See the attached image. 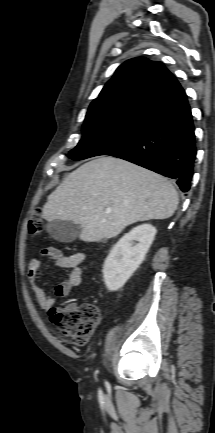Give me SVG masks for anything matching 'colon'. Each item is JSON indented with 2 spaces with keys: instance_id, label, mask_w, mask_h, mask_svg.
<instances>
[{
  "instance_id": "obj_1",
  "label": "colon",
  "mask_w": 215,
  "mask_h": 433,
  "mask_svg": "<svg viewBox=\"0 0 215 433\" xmlns=\"http://www.w3.org/2000/svg\"><path fill=\"white\" fill-rule=\"evenodd\" d=\"M44 227L42 210L36 207L28 222V232L39 235ZM51 321L77 345H85L93 336L99 322V309L93 303H83L78 307L51 310Z\"/></svg>"
}]
</instances>
